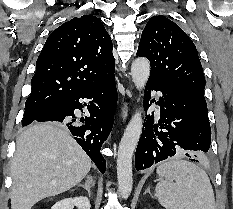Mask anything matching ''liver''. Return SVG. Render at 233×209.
I'll list each match as a JSON object with an SVG mask.
<instances>
[{
	"label": "liver",
	"instance_id": "liver-1",
	"mask_svg": "<svg viewBox=\"0 0 233 209\" xmlns=\"http://www.w3.org/2000/svg\"><path fill=\"white\" fill-rule=\"evenodd\" d=\"M90 168L91 160L65 127L30 126L18 137L11 162V209H31L44 198L68 191Z\"/></svg>",
	"mask_w": 233,
	"mask_h": 209
}]
</instances>
